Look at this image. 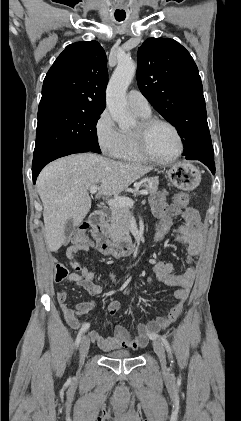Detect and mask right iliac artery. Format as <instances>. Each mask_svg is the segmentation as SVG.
<instances>
[{
	"mask_svg": "<svg viewBox=\"0 0 241 421\" xmlns=\"http://www.w3.org/2000/svg\"><path fill=\"white\" fill-rule=\"evenodd\" d=\"M89 326H90V324H89V323H85V324L82 326V328L80 329V331H79V333H78V335H77V338H76V342H75V345H76V346H78V345H79V343H80V341H81V338H82L83 334L87 331V329L89 328Z\"/></svg>",
	"mask_w": 241,
	"mask_h": 421,
	"instance_id": "1",
	"label": "right iliac artery"
}]
</instances>
